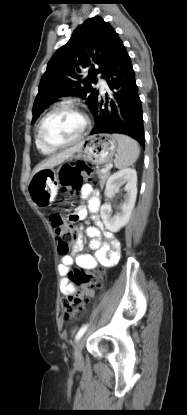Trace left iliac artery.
Wrapping results in <instances>:
<instances>
[{
    "mask_svg": "<svg viewBox=\"0 0 187 415\" xmlns=\"http://www.w3.org/2000/svg\"><path fill=\"white\" fill-rule=\"evenodd\" d=\"M87 328H88V324H85L79 329V331H78V333L76 334V337H75L76 341L79 340L83 336V334L86 332Z\"/></svg>",
    "mask_w": 187,
    "mask_h": 415,
    "instance_id": "obj_1",
    "label": "left iliac artery"
}]
</instances>
